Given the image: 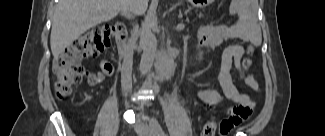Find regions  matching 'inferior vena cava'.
Returning a JSON list of instances; mask_svg holds the SVG:
<instances>
[{"label":"inferior vena cava","mask_w":325,"mask_h":136,"mask_svg":"<svg viewBox=\"0 0 325 136\" xmlns=\"http://www.w3.org/2000/svg\"><path fill=\"white\" fill-rule=\"evenodd\" d=\"M136 2V0H125L124 10L133 11L135 9ZM132 64V49L131 46L128 45V47L126 48V53L124 55L121 70V84L122 89L125 93L131 91L132 89Z\"/></svg>","instance_id":"obj_1"}]
</instances>
